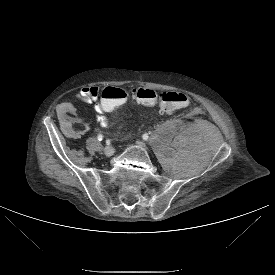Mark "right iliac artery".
Returning <instances> with one entry per match:
<instances>
[{
	"label": "right iliac artery",
	"instance_id": "82829eb1",
	"mask_svg": "<svg viewBox=\"0 0 275 275\" xmlns=\"http://www.w3.org/2000/svg\"><path fill=\"white\" fill-rule=\"evenodd\" d=\"M97 139H98L99 141H102V140H103V135L99 134V135L97 136ZM107 143L110 144L109 142H107Z\"/></svg>",
	"mask_w": 275,
	"mask_h": 275
}]
</instances>
